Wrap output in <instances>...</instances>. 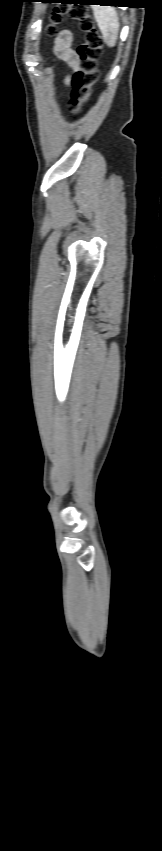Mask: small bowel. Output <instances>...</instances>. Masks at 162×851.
I'll list each match as a JSON object with an SVG mask.
<instances>
[{
  "label": "small bowel",
  "mask_w": 162,
  "mask_h": 851,
  "mask_svg": "<svg viewBox=\"0 0 162 851\" xmlns=\"http://www.w3.org/2000/svg\"><path fill=\"white\" fill-rule=\"evenodd\" d=\"M73 34L69 30L62 31L54 40L53 52L56 58L66 63L74 72L80 69L77 54L72 48ZM69 82V79L67 80Z\"/></svg>",
  "instance_id": "c3829d8e"
}]
</instances>
